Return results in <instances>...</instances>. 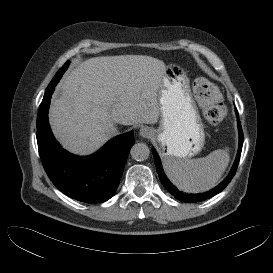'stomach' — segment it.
Instances as JSON below:
<instances>
[{
  "mask_svg": "<svg viewBox=\"0 0 273 273\" xmlns=\"http://www.w3.org/2000/svg\"><path fill=\"white\" fill-rule=\"evenodd\" d=\"M159 128L154 137L164 158L187 159L205 144V132L191 93L190 81L178 64L166 66L158 89Z\"/></svg>",
  "mask_w": 273,
  "mask_h": 273,
  "instance_id": "0dacf381",
  "label": "stomach"
}]
</instances>
